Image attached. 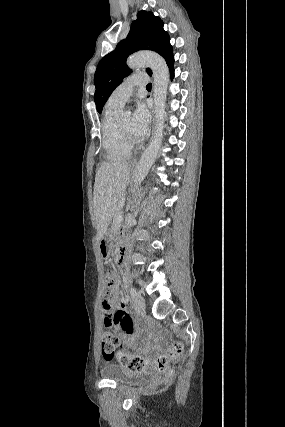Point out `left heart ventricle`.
Instances as JSON below:
<instances>
[{
    "label": "left heart ventricle",
    "instance_id": "b2bd125f",
    "mask_svg": "<svg viewBox=\"0 0 285 427\" xmlns=\"http://www.w3.org/2000/svg\"><path fill=\"white\" fill-rule=\"evenodd\" d=\"M121 124L125 131L133 137V123H132V117L130 115H125L121 119Z\"/></svg>",
    "mask_w": 285,
    "mask_h": 427
}]
</instances>
